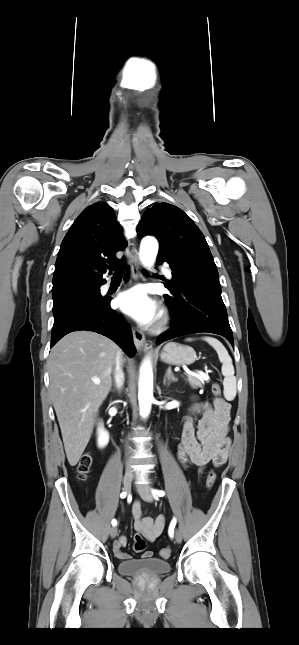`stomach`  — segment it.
Instances as JSON below:
<instances>
[{"instance_id": "stomach-1", "label": "stomach", "mask_w": 299, "mask_h": 645, "mask_svg": "<svg viewBox=\"0 0 299 645\" xmlns=\"http://www.w3.org/2000/svg\"><path fill=\"white\" fill-rule=\"evenodd\" d=\"M160 359L170 365H190L196 360V352L190 346L169 342L164 346Z\"/></svg>"}]
</instances>
